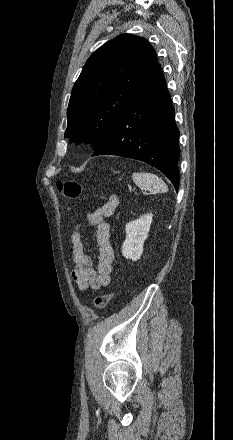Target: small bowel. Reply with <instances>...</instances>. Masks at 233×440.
<instances>
[{"mask_svg": "<svg viewBox=\"0 0 233 440\" xmlns=\"http://www.w3.org/2000/svg\"><path fill=\"white\" fill-rule=\"evenodd\" d=\"M118 205V197L111 195L102 206L87 215L90 226L96 228L99 247L96 267H93L92 259L84 251L81 237L77 232L78 228L72 235L71 250L74 266L71 276L81 290L89 288L98 290L110 282L115 254L110 243V226L106 220L114 214Z\"/></svg>", "mask_w": 233, "mask_h": 440, "instance_id": "1", "label": "small bowel"}]
</instances>
